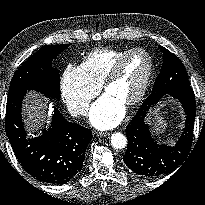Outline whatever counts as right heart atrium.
Returning a JSON list of instances; mask_svg holds the SVG:
<instances>
[{
    "label": "right heart atrium",
    "mask_w": 205,
    "mask_h": 205,
    "mask_svg": "<svg viewBox=\"0 0 205 205\" xmlns=\"http://www.w3.org/2000/svg\"><path fill=\"white\" fill-rule=\"evenodd\" d=\"M60 89L68 111L77 117L87 113L91 100L99 92V86L85 76L80 66L74 65L64 69Z\"/></svg>",
    "instance_id": "right-heart-atrium-1"
}]
</instances>
